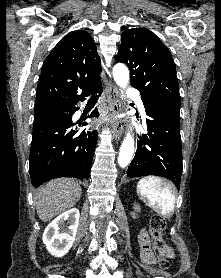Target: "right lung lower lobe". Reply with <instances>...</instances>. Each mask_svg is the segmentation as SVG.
<instances>
[{
    "label": "right lung lower lobe",
    "mask_w": 221,
    "mask_h": 278,
    "mask_svg": "<svg viewBox=\"0 0 221 278\" xmlns=\"http://www.w3.org/2000/svg\"><path fill=\"white\" fill-rule=\"evenodd\" d=\"M94 92L102 93L101 84L76 97L43 103H57L63 110L33 124L29 173L34 187L58 177L88 179L98 133H78L72 115L79 109L77 103ZM97 116V109L89 115Z\"/></svg>",
    "instance_id": "1"
}]
</instances>
